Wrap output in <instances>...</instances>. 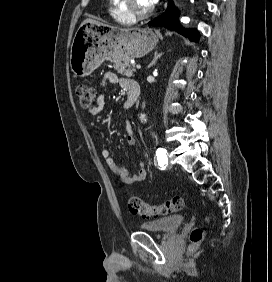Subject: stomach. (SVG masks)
<instances>
[{"label": "stomach", "instance_id": "obj_1", "mask_svg": "<svg viewBox=\"0 0 272 282\" xmlns=\"http://www.w3.org/2000/svg\"><path fill=\"white\" fill-rule=\"evenodd\" d=\"M158 43L151 29H121L102 23H85L77 30L70 51V67L76 77L90 75L105 60L129 61L151 52Z\"/></svg>", "mask_w": 272, "mask_h": 282}]
</instances>
